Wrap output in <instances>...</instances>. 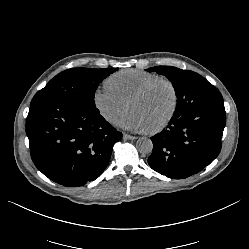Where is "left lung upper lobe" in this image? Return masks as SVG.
I'll use <instances>...</instances> for the list:
<instances>
[{
  "label": "left lung upper lobe",
  "mask_w": 249,
  "mask_h": 249,
  "mask_svg": "<svg viewBox=\"0 0 249 249\" xmlns=\"http://www.w3.org/2000/svg\"><path fill=\"white\" fill-rule=\"evenodd\" d=\"M147 71H155L172 82L177 96L173 117H180L196 108L224 104L219 90L198 73L171 66H156Z\"/></svg>",
  "instance_id": "1"
}]
</instances>
